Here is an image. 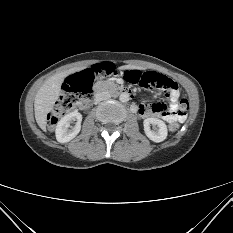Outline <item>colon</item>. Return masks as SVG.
<instances>
[{
	"label": "colon",
	"mask_w": 233,
	"mask_h": 233,
	"mask_svg": "<svg viewBox=\"0 0 233 233\" xmlns=\"http://www.w3.org/2000/svg\"><path fill=\"white\" fill-rule=\"evenodd\" d=\"M115 73L116 70L112 64L104 63L69 76L64 83V93L48 115V126L53 128L58 120L75 105L87 103L92 96V84L96 78ZM124 77L128 82L139 84L146 89L169 90L174 87L171 80L154 72L141 73L140 71L130 70L124 73ZM157 105L159 106V104ZM188 107L189 103L186 99L179 101L178 108L182 114H186ZM168 128L170 131H176L179 129V124L178 122L170 123Z\"/></svg>",
	"instance_id": "1"
}]
</instances>
